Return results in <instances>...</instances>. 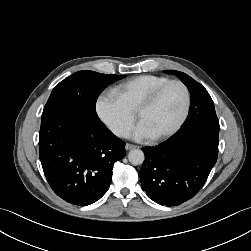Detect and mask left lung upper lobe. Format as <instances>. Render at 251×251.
<instances>
[{
    "instance_id": "left-lung-upper-lobe-1",
    "label": "left lung upper lobe",
    "mask_w": 251,
    "mask_h": 251,
    "mask_svg": "<svg viewBox=\"0 0 251 251\" xmlns=\"http://www.w3.org/2000/svg\"><path fill=\"white\" fill-rule=\"evenodd\" d=\"M164 72L167 74H175L188 87L191 94L189 115L182 128L199 122H219L213 100L201 84L180 71L165 70Z\"/></svg>"
}]
</instances>
